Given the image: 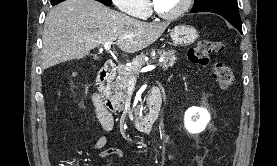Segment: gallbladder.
I'll return each mask as SVG.
<instances>
[{
	"instance_id": "gallbladder-1",
	"label": "gallbladder",
	"mask_w": 277,
	"mask_h": 166,
	"mask_svg": "<svg viewBox=\"0 0 277 166\" xmlns=\"http://www.w3.org/2000/svg\"><path fill=\"white\" fill-rule=\"evenodd\" d=\"M94 58H96L97 56L96 55H93Z\"/></svg>"
}]
</instances>
